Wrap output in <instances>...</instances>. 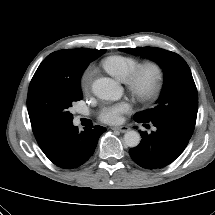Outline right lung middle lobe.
<instances>
[{"label": "right lung middle lobe", "instance_id": "obj_1", "mask_svg": "<svg viewBox=\"0 0 215 215\" xmlns=\"http://www.w3.org/2000/svg\"><path fill=\"white\" fill-rule=\"evenodd\" d=\"M106 50L93 53L53 52L36 70L28 89L27 108L32 124L48 131H62L72 125L69 112L82 99L80 78L88 64Z\"/></svg>", "mask_w": 215, "mask_h": 215}]
</instances>
